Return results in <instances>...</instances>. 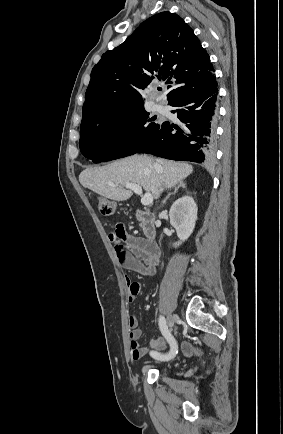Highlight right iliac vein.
<instances>
[{"label":"right iliac vein","instance_id":"right-iliac-vein-1","mask_svg":"<svg viewBox=\"0 0 283 434\" xmlns=\"http://www.w3.org/2000/svg\"><path fill=\"white\" fill-rule=\"evenodd\" d=\"M175 322V315L169 314L167 317V325L170 330H172Z\"/></svg>","mask_w":283,"mask_h":434}]
</instances>
